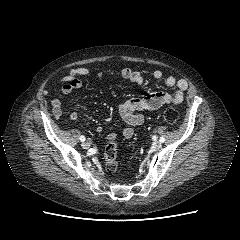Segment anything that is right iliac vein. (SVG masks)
I'll return each mask as SVG.
<instances>
[{
  "instance_id": "obj_1",
  "label": "right iliac vein",
  "mask_w": 240,
  "mask_h": 240,
  "mask_svg": "<svg viewBox=\"0 0 240 240\" xmlns=\"http://www.w3.org/2000/svg\"><path fill=\"white\" fill-rule=\"evenodd\" d=\"M81 146L84 148V149H88L90 147V143L88 141H83V143L81 144Z\"/></svg>"
}]
</instances>
